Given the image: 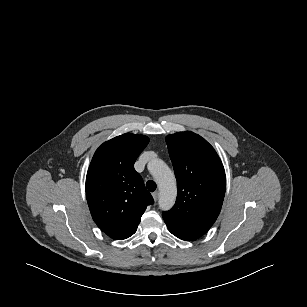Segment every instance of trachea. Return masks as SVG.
<instances>
[{
	"mask_svg": "<svg viewBox=\"0 0 307 307\" xmlns=\"http://www.w3.org/2000/svg\"><path fill=\"white\" fill-rule=\"evenodd\" d=\"M146 187L150 192H154L156 190V183L153 180H148L146 182Z\"/></svg>",
	"mask_w": 307,
	"mask_h": 307,
	"instance_id": "obj_1",
	"label": "trachea"
}]
</instances>
